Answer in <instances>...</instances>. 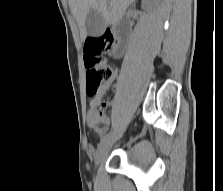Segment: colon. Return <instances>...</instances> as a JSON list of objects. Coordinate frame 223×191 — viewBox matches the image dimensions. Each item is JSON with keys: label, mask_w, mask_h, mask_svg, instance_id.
<instances>
[{"label": "colon", "mask_w": 223, "mask_h": 191, "mask_svg": "<svg viewBox=\"0 0 223 191\" xmlns=\"http://www.w3.org/2000/svg\"><path fill=\"white\" fill-rule=\"evenodd\" d=\"M115 38L110 33L90 36L84 44V64L87 69L86 93L97 96L103 82L112 76V68L103 60V54L113 47ZM102 111L105 110L103 106Z\"/></svg>", "instance_id": "5ec220e1"}]
</instances>
